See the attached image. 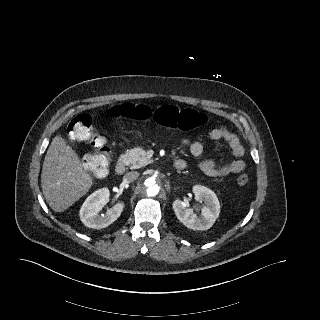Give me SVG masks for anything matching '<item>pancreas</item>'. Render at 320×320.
<instances>
[{
  "label": "pancreas",
  "mask_w": 320,
  "mask_h": 320,
  "mask_svg": "<svg viewBox=\"0 0 320 320\" xmlns=\"http://www.w3.org/2000/svg\"><path fill=\"white\" fill-rule=\"evenodd\" d=\"M120 161L129 166L130 169H138L149 163L145 151L140 147L128 150L125 154L121 155Z\"/></svg>",
  "instance_id": "1"
}]
</instances>
